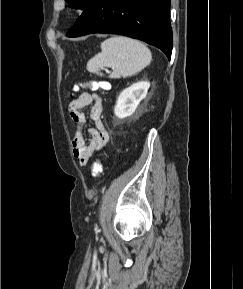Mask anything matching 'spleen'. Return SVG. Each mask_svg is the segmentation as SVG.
<instances>
[{"label": "spleen", "instance_id": "1", "mask_svg": "<svg viewBox=\"0 0 243 289\" xmlns=\"http://www.w3.org/2000/svg\"><path fill=\"white\" fill-rule=\"evenodd\" d=\"M151 59V51L142 42L113 36L101 44V52L88 61L87 70L102 76L100 68L110 67V78H126L145 68Z\"/></svg>", "mask_w": 243, "mask_h": 289}]
</instances>
